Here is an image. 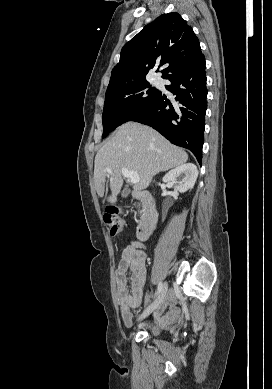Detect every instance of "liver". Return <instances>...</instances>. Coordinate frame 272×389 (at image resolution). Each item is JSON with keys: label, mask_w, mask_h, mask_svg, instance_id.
<instances>
[{"label": "liver", "mask_w": 272, "mask_h": 389, "mask_svg": "<svg viewBox=\"0 0 272 389\" xmlns=\"http://www.w3.org/2000/svg\"><path fill=\"white\" fill-rule=\"evenodd\" d=\"M187 160L188 154L183 149L171 144L151 127L128 122L118 127L97 152L95 187L103 197L105 179L109 178L111 195L107 201L114 204L123 185V167L138 174L140 181L134 184V189L140 191L150 185L156 174L178 167Z\"/></svg>", "instance_id": "1"}]
</instances>
